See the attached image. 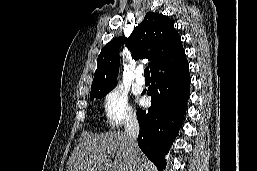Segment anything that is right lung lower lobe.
<instances>
[{"mask_svg": "<svg viewBox=\"0 0 257 171\" xmlns=\"http://www.w3.org/2000/svg\"><path fill=\"white\" fill-rule=\"evenodd\" d=\"M190 74L187 59L152 74L148 110L137 109L140 125L138 145L158 168H165L168 152L182 126L190 95Z\"/></svg>", "mask_w": 257, "mask_h": 171, "instance_id": "right-lung-lower-lobe-1", "label": "right lung lower lobe"}]
</instances>
